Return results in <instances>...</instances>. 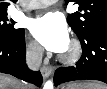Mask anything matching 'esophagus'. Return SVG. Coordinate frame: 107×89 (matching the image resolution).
<instances>
[{"label": "esophagus", "instance_id": "esophagus-1", "mask_svg": "<svg viewBox=\"0 0 107 89\" xmlns=\"http://www.w3.org/2000/svg\"><path fill=\"white\" fill-rule=\"evenodd\" d=\"M53 72V68L50 66H43L41 68V73L44 79L48 78Z\"/></svg>", "mask_w": 107, "mask_h": 89}]
</instances>
